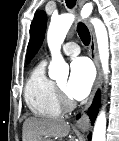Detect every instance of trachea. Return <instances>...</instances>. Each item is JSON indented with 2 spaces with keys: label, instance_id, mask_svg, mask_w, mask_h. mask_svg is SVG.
Instances as JSON below:
<instances>
[{
  "label": "trachea",
  "instance_id": "trachea-1",
  "mask_svg": "<svg viewBox=\"0 0 119 141\" xmlns=\"http://www.w3.org/2000/svg\"><path fill=\"white\" fill-rule=\"evenodd\" d=\"M75 3H76L75 0H66V5L68 8H73L75 6ZM77 32H78V35H79L80 39L82 40V42L85 45H89L90 33H89L87 26L82 22L78 23Z\"/></svg>",
  "mask_w": 119,
  "mask_h": 141
}]
</instances>
